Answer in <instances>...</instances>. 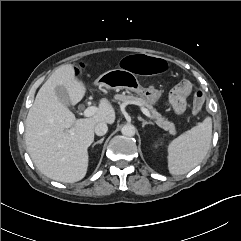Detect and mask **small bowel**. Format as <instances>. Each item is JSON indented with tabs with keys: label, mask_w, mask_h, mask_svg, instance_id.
Segmentation results:
<instances>
[{
	"label": "small bowel",
	"mask_w": 241,
	"mask_h": 241,
	"mask_svg": "<svg viewBox=\"0 0 241 241\" xmlns=\"http://www.w3.org/2000/svg\"><path fill=\"white\" fill-rule=\"evenodd\" d=\"M148 55V54H145ZM152 56V55H151ZM158 57V56H154ZM192 85L189 81L183 80L179 82L171 91L168 97V104L172 107L175 113L183 114L186 110V102L191 94Z\"/></svg>",
	"instance_id": "c3829d8e"
}]
</instances>
